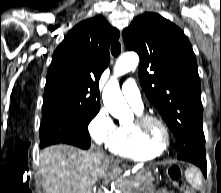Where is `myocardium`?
<instances>
[{
  "label": "myocardium",
  "mask_w": 221,
  "mask_h": 193,
  "mask_svg": "<svg viewBox=\"0 0 221 193\" xmlns=\"http://www.w3.org/2000/svg\"><path fill=\"white\" fill-rule=\"evenodd\" d=\"M154 124H157L162 129L164 133V141L158 140V138L154 135L152 130ZM134 125L145 140L161 151L170 147L172 143L171 131L162 117L149 113L139 114L138 118L134 122Z\"/></svg>",
  "instance_id": "f54148a6"
}]
</instances>
